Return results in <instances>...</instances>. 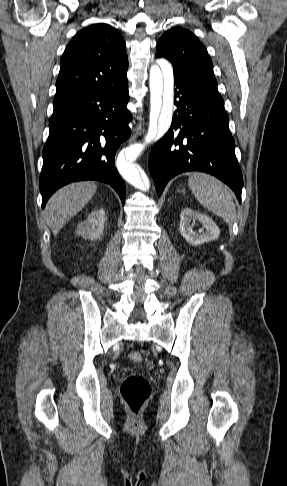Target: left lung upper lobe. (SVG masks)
Returning <instances> with one entry per match:
<instances>
[{
	"instance_id": "1",
	"label": "left lung upper lobe",
	"mask_w": 287,
	"mask_h": 486,
	"mask_svg": "<svg viewBox=\"0 0 287 486\" xmlns=\"http://www.w3.org/2000/svg\"><path fill=\"white\" fill-rule=\"evenodd\" d=\"M157 57L168 59L174 76L189 80L216 101L223 103L217 89L213 65L205 46L189 30L172 28L157 43Z\"/></svg>"
}]
</instances>
